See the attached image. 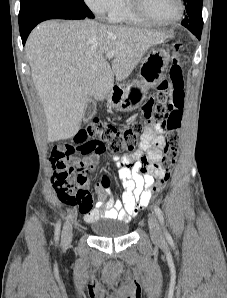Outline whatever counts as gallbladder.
Wrapping results in <instances>:
<instances>
[{"instance_id": "gallbladder-1", "label": "gallbladder", "mask_w": 227, "mask_h": 298, "mask_svg": "<svg viewBox=\"0 0 227 298\" xmlns=\"http://www.w3.org/2000/svg\"><path fill=\"white\" fill-rule=\"evenodd\" d=\"M95 114H96V104L91 99H88L85 107V111L83 114V120L85 122H88Z\"/></svg>"}]
</instances>
